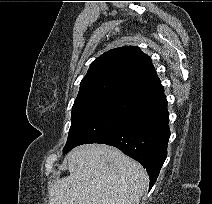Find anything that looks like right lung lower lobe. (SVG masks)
<instances>
[{
	"label": "right lung lower lobe",
	"instance_id": "98d812e1",
	"mask_svg": "<svg viewBox=\"0 0 212 204\" xmlns=\"http://www.w3.org/2000/svg\"><path fill=\"white\" fill-rule=\"evenodd\" d=\"M168 122L167 100L162 94L145 103L124 125L95 143L114 146L140 162L150 177L151 189L167 157Z\"/></svg>",
	"mask_w": 212,
	"mask_h": 204
}]
</instances>
